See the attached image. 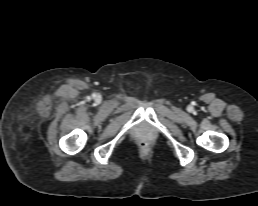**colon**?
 Instances as JSON below:
<instances>
[{
	"label": "colon",
	"mask_w": 258,
	"mask_h": 206,
	"mask_svg": "<svg viewBox=\"0 0 258 206\" xmlns=\"http://www.w3.org/2000/svg\"><path fill=\"white\" fill-rule=\"evenodd\" d=\"M141 148L142 149H147L148 148V144L146 142H142L141 143Z\"/></svg>",
	"instance_id": "obj_1"
}]
</instances>
